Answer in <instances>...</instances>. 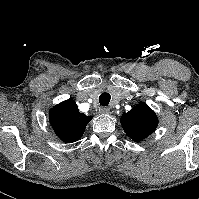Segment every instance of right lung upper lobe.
Listing matches in <instances>:
<instances>
[{
  "label": "right lung upper lobe",
  "mask_w": 199,
  "mask_h": 199,
  "mask_svg": "<svg viewBox=\"0 0 199 199\" xmlns=\"http://www.w3.org/2000/svg\"><path fill=\"white\" fill-rule=\"evenodd\" d=\"M51 126L56 135L66 143L76 142L83 135L91 116L79 112L73 99H68L50 110Z\"/></svg>",
  "instance_id": "obj_1"
}]
</instances>
